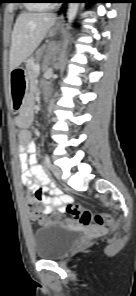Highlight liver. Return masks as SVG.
I'll return each instance as SVG.
<instances>
[{"label":"liver","instance_id":"obj_1","mask_svg":"<svg viewBox=\"0 0 136 296\" xmlns=\"http://www.w3.org/2000/svg\"><path fill=\"white\" fill-rule=\"evenodd\" d=\"M56 19L52 13L24 12L17 17L11 37L10 71L31 56Z\"/></svg>","mask_w":136,"mask_h":296}]
</instances>
